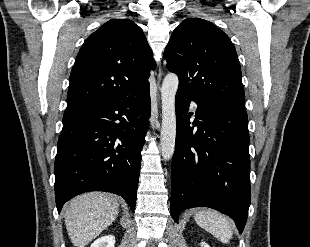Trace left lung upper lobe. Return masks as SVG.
Wrapping results in <instances>:
<instances>
[{
  "mask_svg": "<svg viewBox=\"0 0 310 247\" xmlns=\"http://www.w3.org/2000/svg\"><path fill=\"white\" fill-rule=\"evenodd\" d=\"M164 58L179 78L178 90L244 109L241 67L229 37L214 24L187 18L175 28Z\"/></svg>",
  "mask_w": 310,
  "mask_h": 247,
  "instance_id": "1",
  "label": "left lung upper lobe"
}]
</instances>
